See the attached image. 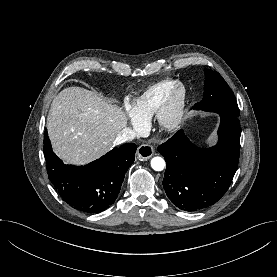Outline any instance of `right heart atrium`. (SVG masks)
<instances>
[{
  "label": "right heart atrium",
  "instance_id": "obj_1",
  "mask_svg": "<svg viewBox=\"0 0 277 277\" xmlns=\"http://www.w3.org/2000/svg\"><path fill=\"white\" fill-rule=\"evenodd\" d=\"M127 110L129 111L131 122H132L133 126L136 129H140L144 125L143 119L138 117L129 105H127Z\"/></svg>",
  "mask_w": 277,
  "mask_h": 277
}]
</instances>
